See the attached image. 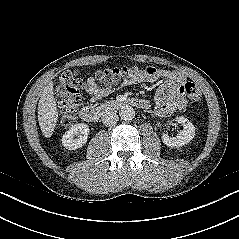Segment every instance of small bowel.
<instances>
[{"mask_svg": "<svg viewBox=\"0 0 239 239\" xmlns=\"http://www.w3.org/2000/svg\"><path fill=\"white\" fill-rule=\"evenodd\" d=\"M167 77L156 93V108L162 115H170L180 111L185 106V98L182 94V78L180 75L169 74L154 66L135 69L134 76L130 79V83H150L159 78ZM84 91L92 101H97L112 92V88L98 86L93 77H88L84 83Z\"/></svg>", "mask_w": 239, "mask_h": 239, "instance_id": "c3829d8e", "label": "small bowel"}]
</instances>
